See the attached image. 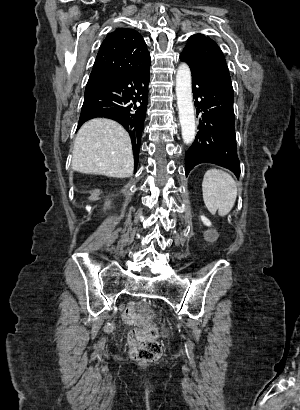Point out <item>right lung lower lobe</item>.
<instances>
[{"label": "right lung lower lobe", "mask_w": 300, "mask_h": 410, "mask_svg": "<svg viewBox=\"0 0 300 410\" xmlns=\"http://www.w3.org/2000/svg\"><path fill=\"white\" fill-rule=\"evenodd\" d=\"M149 67L150 64L143 69L126 70L87 85L78 127L92 118H109L128 131L133 150L140 147L148 104ZM138 156L139 153L134 155L135 165Z\"/></svg>", "instance_id": "obj_1"}]
</instances>
